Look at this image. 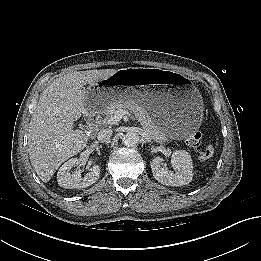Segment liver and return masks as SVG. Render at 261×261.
Listing matches in <instances>:
<instances>
[{
    "mask_svg": "<svg viewBox=\"0 0 261 261\" xmlns=\"http://www.w3.org/2000/svg\"><path fill=\"white\" fill-rule=\"evenodd\" d=\"M115 69L75 71L50 82L42 91L29 123V158L38 177L48 182L60 165L81 152L87 133L73 123L86 112L87 94ZM85 85H89L85 89Z\"/></svg>",
    "mask_w": 261,
    "mask_h": 261,
    "instance_id": "liver-1",
    "label": "liver"
}]
</instances>
